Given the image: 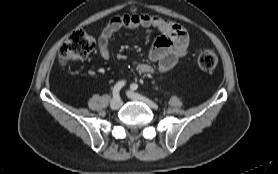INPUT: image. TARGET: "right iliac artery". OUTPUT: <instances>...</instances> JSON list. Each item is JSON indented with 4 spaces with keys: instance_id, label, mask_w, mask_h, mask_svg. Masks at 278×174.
Segmentation results:
<instances>
[{
    "instance_id": "1",
    "label": "right iliac artery",
    "mask_w": 278,
    "mask_h": 174,
    "mask_svg": "<svg viewBox=\"0 0 278 174\" xmlns=\"http://www.w3.org/2000/svg\"><path fill=\"white\" fill-rule=\"evenodd\" d=\"M125 85V81H120L116 83V85L113 87V97L114 99H118L119 97V92L120 89Z\"/></svg>"
}]
</instances>
